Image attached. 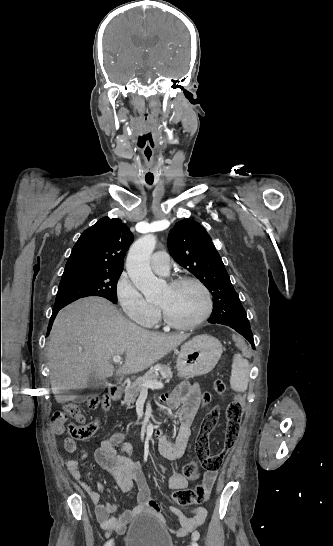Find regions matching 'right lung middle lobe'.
<instances>
[{"label": "right lung middle lobe", "instance_id": "dd1d6c3e", "mask_svg": "<svg viewBox=\"0 0 333 546\" xmlns=\"http://www.w3.org/2000/svg\"><path fill=\"white\" fill-rule=\"evenodd\" d=\"M122 270H98L62 275L53 310L87 296H100L117 303L116 287Z\"/></svg>", "mask_w": 333, "mask_h": 546}]
</instances>
